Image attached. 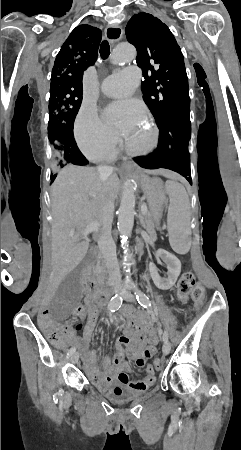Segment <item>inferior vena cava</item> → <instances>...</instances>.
Here are the masks:
<instances>
[{
	"mask_svg": "<svg viewBox=\"0 0 241 450\" xmlns=\"http://www.w3.org/2000/svg\"><path fill=\"white\" fill-rule=\"evenodd\" d=\"M97 172H99L100 176H110L113 168H110V166H97ZM107 212H109V216L113 214L114 202H109ZM111 224L112 222H105L99 236L98 246L108 270V282L109 284H114V282L120 280L121 274L117 262L115 242L111 236Z\"/></svg>",
	"mask_w": 241,
	"mask_h": 450,
	"instance_id": "1",
	"label": "inferior vena cava"
}]
</instances>
